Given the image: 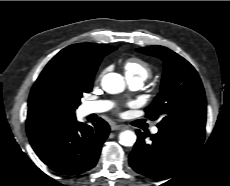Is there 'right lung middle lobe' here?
<instances>
[{
	"mask_svg": "<svg viewBox=\"0 0 230 186\" xmlns=\"http://www.w3.org/2000/svg\"><path fill=\"white\" fill-rule=\"evenodd\" d=\"M116 47H111L104 52L103 56L116 50ZM94 74L76 75L71 79L64 88L65 99L74 107L77 108L80 104V98L83 93H88L92 89Z\"/></svg>",
	"mask_w": 230,
	"mask_h": 186,
	"instance_id": "obj_1",
	"label": "right lung middle lobe"
}]
</instances>
